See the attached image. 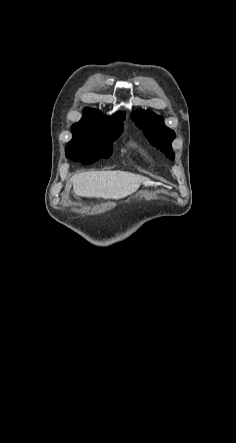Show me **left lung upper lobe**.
I'll use <instances>...</instances> for the list:
<instances>
[{"label": "left lung upper lobe", "instance_id": "obj_1", "mask_svg": "<svg viewBox=\"0 0 236 443\" xmlns=\"http://www.w3.org/2000/svg\"><path fill=\"white\" fill-rule=\"evenodd\" d=\"M132 120L158 149L169 159H174L171 142L175 138V132L165 126L162 117L152 112H139L133 115Z\"/></svg>", "mask_w": 236, "mask_h": 443}]
</instances>
